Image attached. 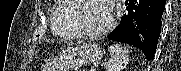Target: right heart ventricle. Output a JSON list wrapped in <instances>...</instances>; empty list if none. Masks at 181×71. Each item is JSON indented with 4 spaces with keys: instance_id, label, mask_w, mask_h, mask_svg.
I'll return each mask as SVG.
<instances>
[{
    "instance_id": "e07e8e85",
    "label": "right heart ventricle",
    "mask_w": 181,
    "mask_h": 71,
    "mask_svg": "<svg viewBox=\"0 0 181 71\" xmlns=\"http://www.w3.org/2000/svg\"><path fill=\"white\" fill-rule=\"evenodd\" d=\"M72 13L71 3L64 0H57L52 9V30L53 32L64 39L79 38L73 31L70 22Z\"/></svg>"
}]
</instances>
